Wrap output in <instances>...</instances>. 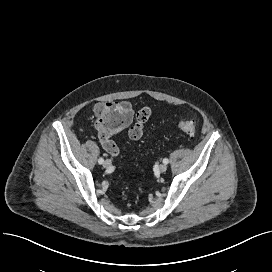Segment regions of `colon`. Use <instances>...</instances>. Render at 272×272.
Wrapping results in <instances>:
<instances>
[{
	"label": "colon",
	"instance_id": "obj_1",
	"mask_svg": "<svg viewBox=\"0 0 272 272\" xmlns=\"http://www.w3.org/2000/svg\"><path fill=\"white\" fill-rule=\"evenodd\" d=\"M147 114H137L136 122L129 129V137L139 139L143 134V127L146 121ZM130 121V115L123 112L119 108L111 105H106L98 112V119L96 121V129L99 134L100 140L109 134L119 132ZM178 127L187 135L193 137L196 134V123L192 120L182 119L178 123Z\"/></svg>",
	"mask_w": 272,
	"mask_h": 272
}]
</instances>
